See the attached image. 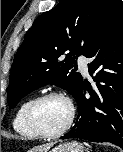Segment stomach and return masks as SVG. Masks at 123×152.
<instances>
[{"label":"stomach","mask_w":123,"mask_h":152,"mask_svg":"<svg viewBox=\"0 0 123 152\" xmlns=\"http://www.w3.org/2000/svg\"><path fill=\"white\" fill-rule=\"evenodd\" d=\"M49 152H85V149L80 143L72 141L69 143L60 144L51 149Z\"/></svg>","instance_id":"stomach-1"}]
</instances>
